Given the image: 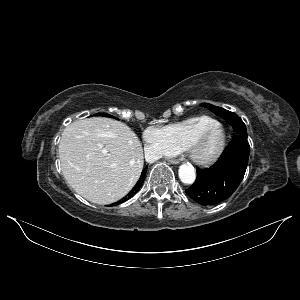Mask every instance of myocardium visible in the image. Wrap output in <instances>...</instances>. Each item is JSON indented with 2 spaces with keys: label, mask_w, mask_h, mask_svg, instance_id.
Listing matches in <instances>:
<instances>
[{
  "label": "myocardium",
  "mask_w": 300,
  "mask_h": 300,
  "mask_svg": "<svg viewBox=\"0 0 300 300\" xmlns=\"http://www.w3.org/2000/svg\"><path fill=\"white\" fill-rule=\"evenodd\" d=\"M215 136V142L208 154H201L200 148L202 144ZM226 144V131L224 127L218 122L213 126L203 130L196 135L188 144L187 152L190 160L200 166H207L219 159L222 155Z\"/></svg>",
  "instance_id": "f54148a6"
}]
</instances>
